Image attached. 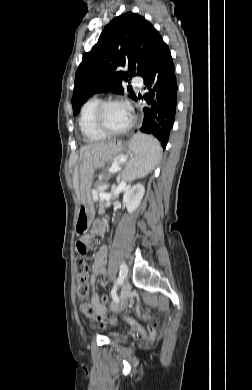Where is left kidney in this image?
Returning a JSON list of instances; mask_svg holds the SVG:
<instances>
[{"mask_svg": "<svg viewBox=\"0 0 252 390\" xmlns=\"http://www.w3.org/2000/svg\"><path fill=\"white\" fill-rule=\"evenodd\" d=\"M145 188L142 184H136L131 188H127L123 195V203L129 213H133L140 205L144 196Z\"/></svg>", "mask_w": 252, "mask_h": 390, "instance_id": "obj_1", "label": "left kidney"}]
</instances>
